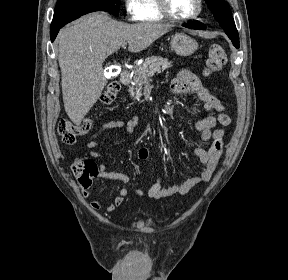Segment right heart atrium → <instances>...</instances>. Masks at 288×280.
<instances>
[{
    "instance_id": "right-heart-atrium-1",
    "label": "right heart atrium",
    "mask_w": 288,
    "mask_h": 280,
    "mask_svg": "<svg viewBox=\"0 0 288 280\" xmlns=\"http://www.w3.org/2000/svg\"><path fill=\"white\" fill-rule=\"evenodd\" d=\"M141 0H123V9L129 20L136 21L141 15Z\"/></svg>"
}]
</instances>
